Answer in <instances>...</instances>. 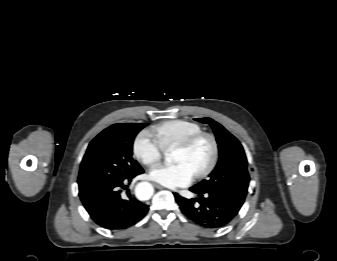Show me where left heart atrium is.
<instances>
[{"label":"left heart atrium","mask_w":337,"mask_h":261,"mask_svg":"<svg viewBox=\"0 0 337 261\" xmlns=\"http://www.w3.org/2000/svg\"><path fill=\"white\" fill-rule=\"evenodd\" d=\"M150 178L166 187L175 188L189 185L194 173L183 163L158 165L151 169Z\"/></svg>","instance_id":"39dd6f15"}]
</instances>
